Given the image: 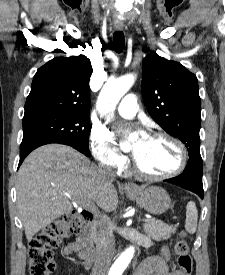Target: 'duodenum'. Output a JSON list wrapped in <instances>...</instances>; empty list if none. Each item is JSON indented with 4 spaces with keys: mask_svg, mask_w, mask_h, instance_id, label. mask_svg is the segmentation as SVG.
<instances>
[{
    "mask_svg": "<svg viewBox=\"0 0 225 275\" xmlns=\"http://www.w3.org/2000/svg\"><path fill=\"white\" fill-rule=\"evenodd\" d=\"M94 232L93 218L79 231L76 237V254L81 258L86 268L90 269L95 259V253L91 244Z\"/></svg>",
    "mask_w": 225,
    "mask_h": 275,
    "instance_id": "duodenum-1",
    "label": "duodenum"
}]
</instances>
